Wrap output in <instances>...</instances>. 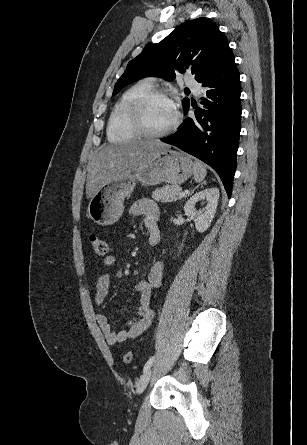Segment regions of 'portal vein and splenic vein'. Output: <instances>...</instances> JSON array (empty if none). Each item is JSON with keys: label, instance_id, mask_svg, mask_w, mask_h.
<instances>
[{"label": "portal vein and splenic vein", "instance_id": "obj_1", "mask_svg": "<svg viewBox=\"0 0 307 445\" xmlns=\"http://www.w3.org/2000/svg\"><path fill=\"white\" fill-rule=\"evenodd\" d=\"M180 196H185L184 192H180Z\"/></svg>", "mask_w": 307, "mask_h": 445}]
</instances>
